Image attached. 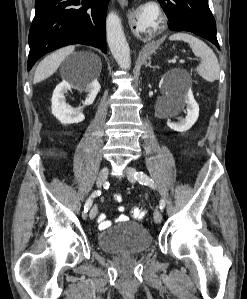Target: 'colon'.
Returning <instances> with one entry per match:
<instances>
[{
    "instance_id": "5ec220e1",
    "label": "colon",
    "mask_w": 247,
    "mask_h": 299,
    "mask_svg": "<svg viewBox=\"0 0 247 299\" xmlns=\"http://www.w3.org/2000/svg\"><path fill=\"white\" fill-rule=\"evenodd\" d=\"M131 216L137 220H142L145 217V212L141 208L136 207L131 210Z\"/></svg>"
}]
</instances>
